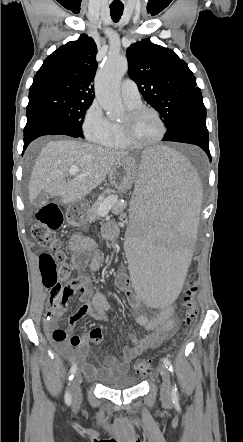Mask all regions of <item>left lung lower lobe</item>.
<instances>
[{"label":"left lung lower lobe","mask_w":243,"mask_h":442,"mask_svg":"<svg viewBox=\"0 0 243 442\" xmlns=\"http://www.w3.org/2000/svg\"><path fill=\"white\" fill-rule=\"evenodd\" d=\"M208 136L206 111H198L182 119L171 133L165 135L163 141L195 144L206 152L211 161Z\"/></svg>","instance_id":"0a47b994"}]
</instances>
